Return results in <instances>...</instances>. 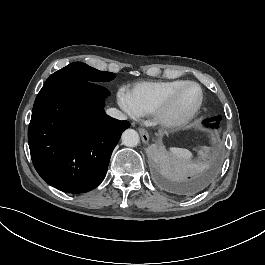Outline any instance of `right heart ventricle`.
<instances>
[{"label": "right heart ventricle", "mask_w": 265, "mask_h": 265, "mask_svg": "<svg viewBox=\"0 0 265 265\" xmlns=\"http://www.w3.org/2000/svg\"><path fill=\"white\" fill-rule=\"evenodd\" d=\"M185 79L174 78L165 81L139 82L128 90L133 115L147 116L155 112Z\"/></svg>", "instance_id": "e07e8e85"}]
</instances>
